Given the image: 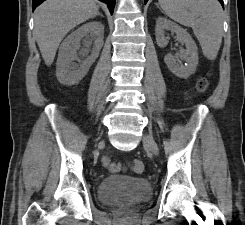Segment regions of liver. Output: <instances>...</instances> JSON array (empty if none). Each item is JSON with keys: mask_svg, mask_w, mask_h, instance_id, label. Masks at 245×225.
Wrapping results in <instances>:
<instances>
[{"mask_svg": "<svg viewBox=\"0 0 245 225\" xmlns=\"http://www.w3.org/2000/svg\"><path fill=\"white\" fill-rule=\"evenodd\" d=\"M95 0H46L35 10V37L47 66L67 33L99 13Z\"/></svg>", "mask_w": 245, "mask_h": 225, "instance_id": "obj_1", "label": "liver"}]
</instances>
